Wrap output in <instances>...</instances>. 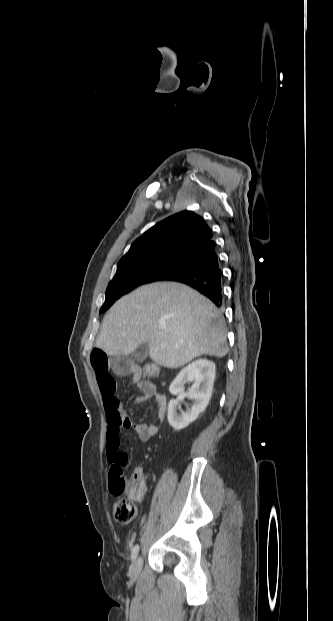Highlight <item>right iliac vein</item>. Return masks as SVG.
Segmentation results:
<instances>
[{
  "instance_id": "right-iliac-vein-1",
  "label": "right iliac vein",
  "mask_w": 333,
  "mask_h": 621,
  "mask_svg": "<svg viewBox=\"0 0 333 621\" xmlns=\"http://www.w3.org/2000/svg\"><path fill=\"white\" fill-rule=\"evenodd\" d=\"M141 566H142V557L138 556L137 558H135L134 562L132 563L130 567V574L132 578L138 577L140 570H141Z\"/></svg>"
}]
</instances>
